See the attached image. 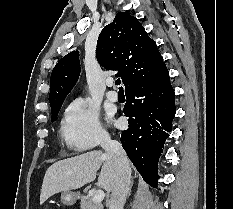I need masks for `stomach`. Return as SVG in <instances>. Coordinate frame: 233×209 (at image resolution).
I'll return each instance as SVG.
<instances>
[{
	"label": "stomach",
	"mask_w": 233,
	"mask_h": 209,
	"mask_svg": "<svg viewBox=\"0 0 233 209\" xmlns=\"http://www.w3.org/2000/svg\"><path fill=\"white\" fill-rule=\"evenodd\" d=\"M61 203L66 206L74 205L79 199V194L77 192L67 191L61 193Z\"/></svg>",
	"instance_id": "obj_1"
}]
</instances>
